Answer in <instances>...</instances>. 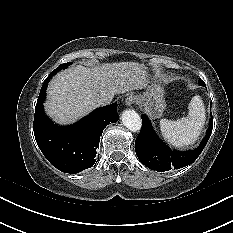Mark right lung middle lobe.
Returning <instances> with one entry per match:
<instances>
[{"label":"right lung middle lobe","mask_w":233,"mask_h":233,"mask_svg":"<svg viewBox=\"0 0 233 233\" xmlns=\"http://www.w3.org/2000/svg\"><path fill=\"white\" fill-rule=\"evenodd\" d=\"M70 64H71V62H68V63H65V64H61L59 67L56 68L55 71H58V70H60V69H65V68H67L68 65H70Z\"/></svg>","instance_id":"obj_1"}]
</instances>
